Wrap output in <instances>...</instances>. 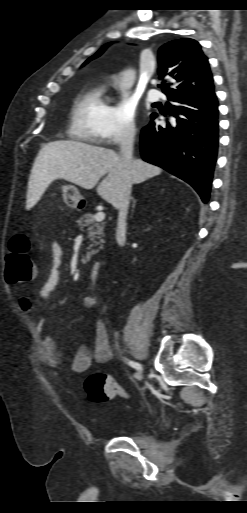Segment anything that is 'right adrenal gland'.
I'll list each match as a JSON object with an SVG mask.
<instances>
[{
	"instance_id": "2a0ac1e0",
	"label": "right adrenal gland",
	"mask_w": 247,
	"mask_h": 513,
	"mask_svg": "<svg viewBox=\"0 0 247 513\" xmlns=\"http://www.w3.org/2000/svg\"><path fill=\"white\" fill-rule=\"evenodd\" d=\"M132 200H133L132 208H134L135 204H136V200H134L133 198H132Z\"/></svg>"
}]
</instances>
